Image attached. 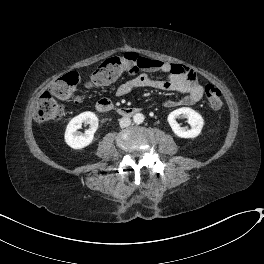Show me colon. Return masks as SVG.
<instances>
[{"instance_id": "5ec220e1", "label": "colon", "mask_w": 264, "mask_h": 264, "mask_svg": "<svg viewBox=\"0 0 264 264\" xmlns=\"http://www.w3.org/2000/svg\"><path fill=\"white\" fill-rule=\"evenodd\" d=\"M141 68L139 58L134 54L113 57L98 66L92 74L89 87H97L117 80L122 74L136 73ZM80 81L77 73L69 72L55 80L37 101L35 118L40 123H47L61 118L64 108L58 99L71 102L80 100ZM208 104L214 109L222 106V93L212 84L205 87Z\"/></svg>"}]
</instances>
